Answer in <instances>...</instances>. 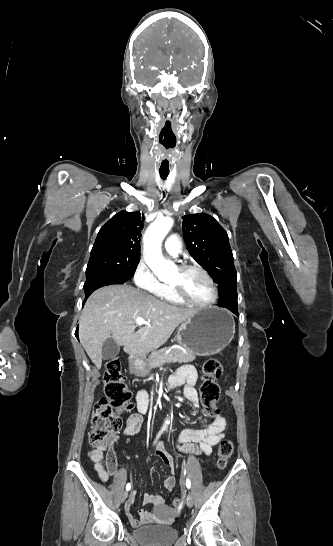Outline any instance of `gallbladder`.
<instances>
[{
    "label": "gallbladder",
    "instance_id": "gallbladder-1",
    "mask_svg": "<svg viewBox=\"0 0 333 546\" xmlns=\"http://www.w3.org/2000/svg\"><path fill=\"white\" fill-rule=\"evenodd\" d=\"M120 351V346L116 344L112 339H107L102 347V358L109 360L115 358Z\"/></svg>",
    "mask_w": 333,
    "mask_h": 546
}]
</instances>
